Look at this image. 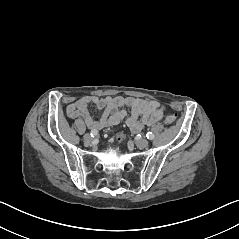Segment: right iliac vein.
Segmentation results:
<instances>
[{
	"label": "right iliac vein",
	"instance_id": "right-iliac-vein-1",
	"mask_svg": "<svg viewBox=\"0 0 239 239\" xmlns=\"http://www.w3.org/2000/svg\"><path fill=\"white\" fill-rule=\"evenodd\" d=\"M83 139H84V142L86 144H90L92 142V140H93L92 137L90 136V134H85Z\"/></svg>",
	"mask_w": 239,
	"mask_h": 239
}]
</instances>
